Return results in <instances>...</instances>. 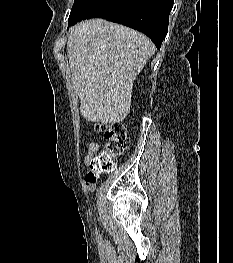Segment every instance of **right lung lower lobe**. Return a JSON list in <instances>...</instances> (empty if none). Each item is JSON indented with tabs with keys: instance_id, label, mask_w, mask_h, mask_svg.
I'll list each match as a JSON object with an SVG mask.
<instances>
[{
	"instance_id": "1",
	"label": "right lung lower lobe",
	"mask_w": 233,
	"mask_h": 263,
	"mask_svg": "<svg viewBox=\"0 0 233 263\" xmlns=\"http://www.w3.org/2000/svg\"><path fill=\"white\" fill-rule=\"evenodd\" d=\"M174 0H123L106 20L146 34L160 49L168 32L169 14Z\"/></svg>"
}]
</instances>
